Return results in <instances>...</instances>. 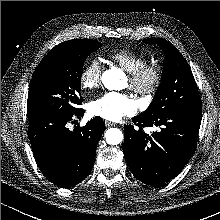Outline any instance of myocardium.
Instances as JSON below:
<instances>
[{
	"instance_id": "f54148a6",
	"label": "myocardium",
	"mask_w": 220,
	"mask_h": 220,
	"mask_svg": "<svg viewBox=\"0 0 220 220\" xmlns=\"http://www.w3.org/2000/svg\"><path fill=\"white\" fill-rule=\"evenodd\" d=\"M130 88L140 96H151L160 87L163 79L162 67L158 63H146L129 73Z\"/></svg>"
}]
</instances>
